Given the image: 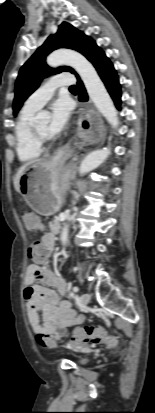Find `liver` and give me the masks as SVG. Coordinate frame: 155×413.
Returning <instances> with one entry per match:
<instances>
[{
    "label": "liver",
    "instance_id": "obj_1",
    "mask_svg": "<svg viewBox=\"0 0 155 413\" xmlns=\"http://www.w3.org/2000/svg\"><path fill=\"white\" fill-rule=\"evenodd\" d=\"M39 162V160L37 161H33V162H28L25 163L24 165H22L19 170L16 173V176L14 177V188L17 192H19V181H20V177L22 176L23 172L32 164Z\"/></svg>",
    "mask_w": 155,
    "mask_h": 413
}]
</instances>
